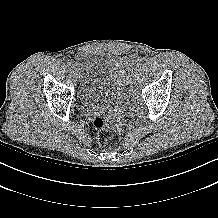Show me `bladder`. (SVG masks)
I'll return each mask as SVG.
<instances>
[{"label":"bladder","instance_id":"31cf9c89","mask_svg":"<svg viewBox=\"0 0 218 218\" xmlns=\"http://www.w3.org/2000/svg\"><path fill=\"white\" fill-rule=\"evenodd\" d=\"M75 67L79 76V99L86 108L109 107L134 72L135 60L80 52Z\"/></svg>","mask_w":218,"mask_h":218}]
</instances>
